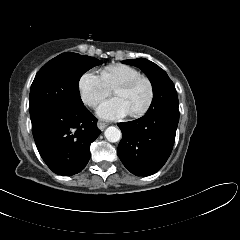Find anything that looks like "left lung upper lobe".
Returning a JSON list of instances; mask_svg holds the SVG:
<instances>
[{
	"instance_id": "1",
	"label": "left lung upper lobe",
	"mask_w": 240,
	"mask_h": 240,
	"mask_svg": "<svg viewBox=\"0 0 240 240\" xmlns=\"http://www.w3.org/2000/svg\"><path fill=\"white\" fill-rule=\"evenodd\" d=\"M123 62L138 66L149 78L153 88V101L148 111L159 107L178 108L176 89L164 70L144 58L124 60Z\"/></svg>"
}]
</instances>
